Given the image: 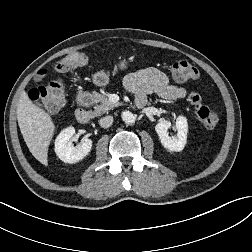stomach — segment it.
<instances>
[{
  "label": "stomach",
  "mask_w": 252,
  "mask_h": 252,
  "mask_svg": "<svg viewBox=\"0 0 252 252\" xmlns=\"http://www.w3.org/2000/svg\"><path fill=\"white\" fill-rule=\"evenodd\" d=\"M117 67L121 70L128 68V61L123 59L118 62ZM93 83L97 86H106L109 83V75L105 71H99L92 77Z\"/></svg>",
  "instance_id": "0dacf381"
}]
</instances>
